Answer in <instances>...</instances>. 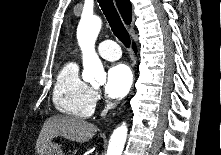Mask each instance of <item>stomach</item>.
I'll return each instance as SVG.
<instances>
[{"label": "stomach", "mask_w": 221, "mask_h": 155, "mask_svg": "<svg viewBox=\"0 0 221 155\" xmlns=\"http://www.w3.org/2000/svg\"><path fill=\"white\" fill-rule=\"evenodd\" d=\"M41 155H64V154L61 147L58 144L50 142Z\"/></svg>", "instance_id": "stomach-1"}]
</instances>
